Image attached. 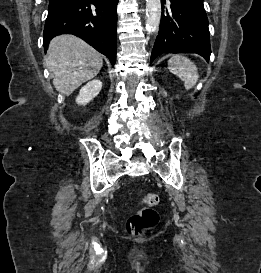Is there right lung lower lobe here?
I'll return each instance as SVG.
<instances>
[{
    "mask_svg": "<svg viewBox=\"0 0 261 273\" xmlns=\"http://www.w3.org/2000/svg\"><path fill=\"white\" fill-rule=\"evenodd\" d=\"M118 0H50L43 33L44 48L60 34H73L116 61Z\"/></svg>",
    "mask_w": 261,
    "mask_h": 273,
    "instance_id": "right-lung-lower-lobe-1",
    "label": "right lung lower lobe"
}]
</instances>
